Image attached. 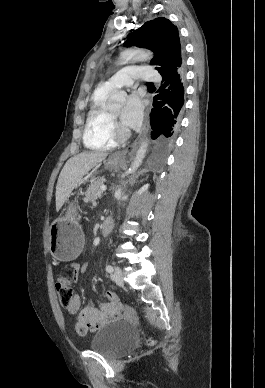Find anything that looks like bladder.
<instances>
[{
	"mask_svg": "<svg viewBox=\"0 0 265 388\" xmlns=\"http://www.w3.org/2000/svg\"><path fill=\"white\" fill-rule=\"evenodd\" d=\"M135 334V327L131 323L124 320L114 321L96 331L90 347L95 352L115 356L131 347Z\"/></svg>",
	"mask_w": 265,
	"mask_h": 388,
	"instance_id": "1",
	"label": "bladder"
}]
</instances>
